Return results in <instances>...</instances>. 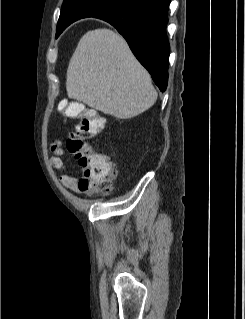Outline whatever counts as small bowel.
I'll return each mask as SVG.
<instances>
[{
  "mask_svg": "<svg viewBox=\"0 0 245 319\" xmlns=\"http://www.w3.org/2000/svg\"><path fill=\"white\" fill-rule=\"evenodd\" d=\"M50 150L52 152V157L50 159L51 165L56 169L64 171L65 164L62 158L64 155V149L62 147V142L60 140H55L50 145ZM60 181L65 188L70 189L75 193L81 192L78 186L79 182L76 177L65 173L60 176Z\"/></svg>",
  "mask_w": 245,
  "mask_h": 319,
  "instance_id": "obj_1",
  "label": "small bowel"
}]
</instances>
